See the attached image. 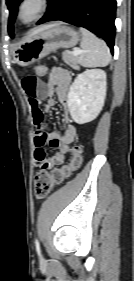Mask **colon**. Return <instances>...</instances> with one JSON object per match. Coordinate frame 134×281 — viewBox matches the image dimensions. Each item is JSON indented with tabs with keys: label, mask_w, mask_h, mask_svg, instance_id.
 I'll return each mask as SVG.
<instances>
[{
	"label": "colon",
	"mask_w": 134,
	"mask_h": 281,
	"mask_svg": "<svg viewBox=\"0 0 134 281\" xmlns=\"http://www.w3.org/2000/svg\"><path fill=\"white\" fill-rule=\"evenodd\" d=\"M37 77L42 78L47 75V67L45 65H38L35 68ZM71 159L68 164L60 168H54L51 171L40 170L34 180V190L37 199L45 198L52 189L61 184L74 171L79 169L82 164V149L75 145L71 149Z\"/></svg>",
	"instance_id": "obj_1"
}]
</instances>
